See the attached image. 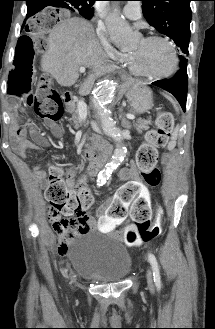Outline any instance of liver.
Instances as JSON below:
<instances>
[{"label":"liver","instance_id":"liver-1","mask_svg":"<svg viewBox=\"0 0 215 329\" xmlns=\"http://www.w3.org/2000/svg\"><path fill=\"white\" fill-rule=\"evenodd\" d=\"M47 43L48 49L42 56L41 67L61 86L74 85L81 66L92 67V72L81 86L80 94L88 93L97 77L115 69L104 57L91 23L83 18L60 21L50 32Z\"/></svg>","mask_w":215,"mask_h":329}]
</instances>
